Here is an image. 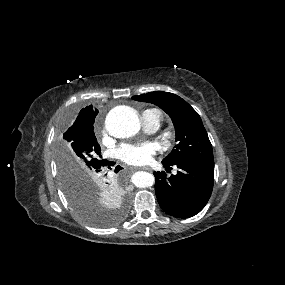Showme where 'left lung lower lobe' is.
<instances>
[{"instance_id":"1","label":"left lung lower lobe","mask_w":285,"mask_h":285,"mask_svg":"<svg viewBox=\"0 0 285 285\" xmlns=\"http://www.w3.org/2000/svg\"><path fill=\"white\" fill-rule=\"evenodd\" d=\"M169 170L173 165L163 164ZM176 175L166 178L155 172V193L160 207L169 215L188 218L199 213L207 204L214 184V161L184 162L174 165Z\"/></svg>"}]
</instances>
